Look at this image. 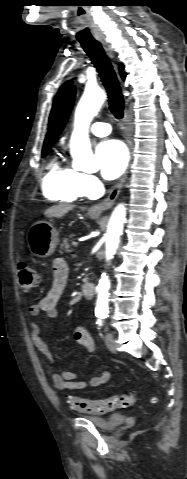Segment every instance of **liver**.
<instances>
[{
	"mask_svg": "<svg viewBox=\"0 0 187 479\" xmlns=\"http://www.w3.org/2000/svg\"><path fill=\"white\" fill-rule=\"evenodd\" d=\"M73 205L61 203L58 205L51 206L50 208L46 209L44 215L48 218H61L65 214H67L70 210L73 209Z\"/></svg>",
	"mask_w": 187,
	"mask_h": 479,
	"instance_id": "6515ba94",
	"label": "liver"
}]
</instances>
